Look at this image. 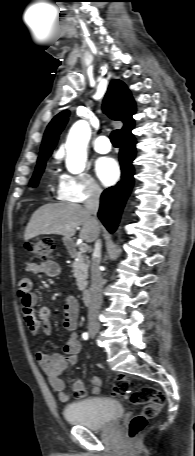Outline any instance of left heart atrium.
<instances>
[{"label": "left heart atrium", "instance_id": "39dd6f15", "mask_svg": "<svg viewBox=\"0 0 195 456\" xmlns=\"http://www.w3.org/2000/svg\"><path fill=\"white\" fill-rule=\"evenodd\" d=\"M95 173L104 185L109 186L118 179L119 166L113 158L102 157L95 163Z\"/></svg>", "mask_w": 195, "mask_h": 456}]
</instances>
